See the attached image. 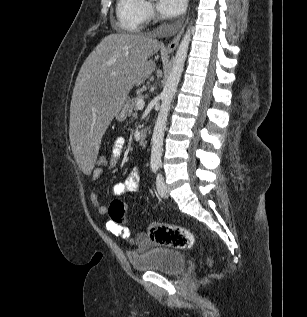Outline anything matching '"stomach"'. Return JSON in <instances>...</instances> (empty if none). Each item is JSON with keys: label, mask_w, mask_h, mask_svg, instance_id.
Returning a JSON list of instances; mask_svg holds the SVG:
<instances>
[{"label": "stomach", "mask_w": 307, "mask_h": 317, "mask_svg": "<svg viewBox=\"0 0 307 317\" xmlns=\"http://www.w3.org/2000/svg\"><path fill=\"white\" fill-rule=\"evenodd\" d=\"M129 104V99L126 98L124 103L119 107V109L116 111L115 113V118L116 120H118L119 122L124 121L127 116H128V110H127V106Z\"/></svg>", "instance_id": "stomach-1"}]
</instances>
